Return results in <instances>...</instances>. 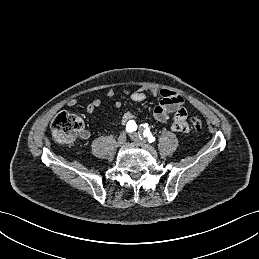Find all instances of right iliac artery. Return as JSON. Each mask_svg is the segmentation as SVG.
I'll list each match as a JSON object with an SVG mask.
<instances>
[{
	"mask_svg": "<svg viewBox=\"0 0 259 259\" xmlns=\"http://www.w3.org/2000/svg\"><path fill=\"white\" fill-rule=\"evenodd\" d=\"M137 130V124L134 120H130L127 122L126 124V131L131 133L133 131H136Z\"/></svg>",
	"mask_w": 259,
	"mask_h": 259,
	"instance_id": "right-iliac-artery-1",
	"label": "right iliac artery"
}]
</instances>
